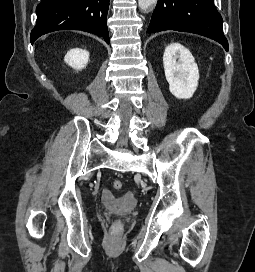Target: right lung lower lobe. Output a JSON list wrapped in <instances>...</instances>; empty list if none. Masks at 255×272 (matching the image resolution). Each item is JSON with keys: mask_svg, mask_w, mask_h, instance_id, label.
Listing matches in <instances>:
<instances>
[{"mask_svg": "<svg viewBox=\"0 0 255 272\" xmlns=\"http://www.w3.org/2000/svg\"><path fill=\"white\" fill-rule=\"evenodd\" d=\"M108 8L109 0H42L36 8L31 43L49 32L73 29L102 36L109 44Z\"/></svg>", "mask_w": 255, "mask_h": 272, "instance_id": "obj_1", "label": "right lung lower lobe"}]
</instances>
